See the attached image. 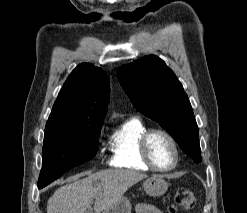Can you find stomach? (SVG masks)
<instances>
[{"mask_svg": "<svg viewBox=\"0 0 247 213\" xmlns=\"http://www.w3.org/2000/svg\"><path fill=\"white\" fill-rule=\"evenodd\" d=\"M147 195L159 197L168 189V183L159 175H154L143 182ZM131 203L126 197L120 198L114 205L105 209L103 213H131Z\"/></svg>", "mask_w": 247, "mask_h": 213, "instance_id": "1", "label": "stomach"}]
</instances>
